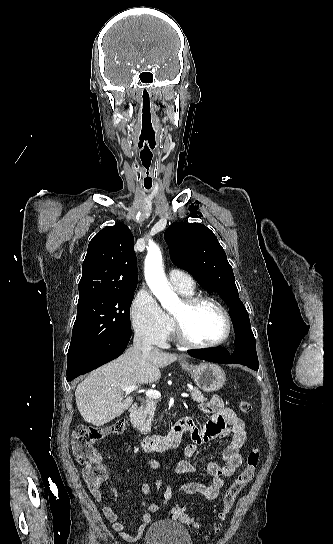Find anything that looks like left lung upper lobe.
Instances as JSON below:
<instances>
[{
    "mask_svg": "<svg viewBox=\"0 0 333 544\" xmlns=\"http://www.w3.org/2000/svg\"><path fill=\"white\" fill-rule=\"evenodd\" d=\"M165 240L175 265L190 271L202 287L219 292L230 307L231 319L249 321L226 253L209 228L200 223L175 222L166 230Z\"/></svg>",
    "mask_w": 333,
    "mask_h": 544,
    "instance_id": "obj_1",
    "label": "left lung upper lobe"
}]
</instances>
